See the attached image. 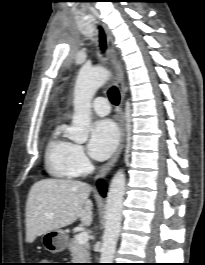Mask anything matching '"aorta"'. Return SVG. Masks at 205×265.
Wrapping results in <instances>:
<instances>
[{"label": "aorta", "mask_w": 205, "mask_h": 265, "mask_svg": "<svg viewBox=\"0 0 205 265\" xmlns=\"http://www.w3.org/2000/svg\"><path fill=\"white\" fill-rule=\"evenodd\" d=\"M109 76V71L103 67H83L80 70L74 87V114L72 126L67 131L69 139L77 143L87 141L91 122V101ZM125 182V174L123 170H119L108 190L100 263H113L114 260L121 229Z\"/></svg>", "instance_id": "aorta-1"}]
</instances>
